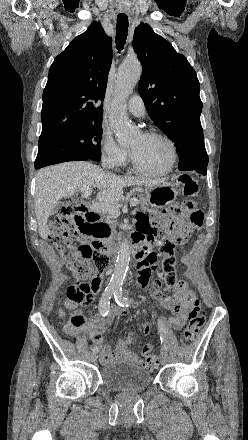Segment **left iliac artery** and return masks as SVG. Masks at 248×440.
Wrapping results in <instances>:
<instances>
[{"label":"left iliac artery","instance_id":"obj_1","mask_svg":"<svg viewBox=\"0 0 248 440\" xmlns=\"http://www.w3.org/2000/svg\"><path fill=\"white\" fill-rule=\"evenodd\" d=\"M114 298H115L116 303L119 306H121V307H128L129 306L128 298L123 296V291H122L121 287L115 288ZM160 340L164 346V350H167L165 330H163L162 328L160 329Z\"/></svg>","mask_w":248,"mask_h":440}]
</instances>
